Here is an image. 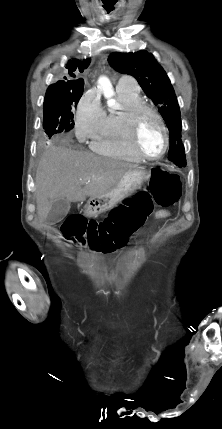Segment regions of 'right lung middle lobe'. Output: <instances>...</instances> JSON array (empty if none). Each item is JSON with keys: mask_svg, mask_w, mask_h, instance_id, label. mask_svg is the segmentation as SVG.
<instances>
[{"mask_svg": "<svg viewBox=\"0 0 222 429\" xmlns=\"http://www.w3.org/2000/svg\"><path fill=\"white\" fill-rule=\"evenodd\" d=\"M83 88L84 84H78L66 91L47 90L43 104V127L49 138L73 128V110L83 94Z\"/></svg>", "mask_w": 222, "mask_h": 429, "instance_id": "1", "label": "right lung middle lobe"}]
</instances>
